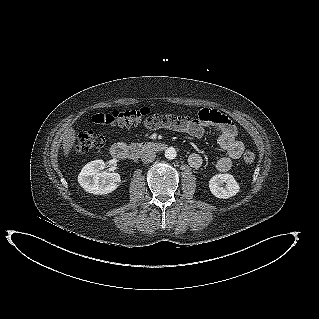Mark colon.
<instances>
[{
    "mask_svg": "<svg viewBox=\"0 0 319 319\" xmlns=\"http://www.w3.org/2000/svg\"><path fill=\"white\" fill-rule=\"evenodd\" d=\"M150 114L148 107H143L132 111L114 110L106 114H102V120L106 124L119 127H131L141 123ZM105 144V137L91 130L78 134L76 138L75 150L84 154L92 150L99 149ZM245 163L251 164L255 160V154L246 150L243 154Z\"/></svg>",
    "mask_w": 319,
    "mask_h": 319,
    "instance_id": "colon-1",
    "label": "colon"
}]
</instances>
